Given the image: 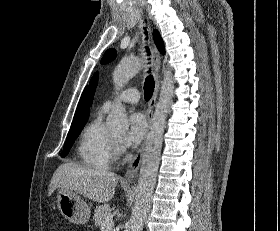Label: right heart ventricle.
<instances>
[{
	"label": "right heart ventricle",
	"instance_id": "e07e8e85",
	"mask_svg": "<svg viewBox=\"0 0 280 231\" xmlns=\"http://www.w3.org/2000/svg\"><path fill=\"white\" fill-rule=\"evenodd\" d=\"M102 111L83 129L77 144L81 163L89 168L106 169L113 154V141L102 123Z\"/></svg>",
	"mask_w": 280,
	"mask_h": 231
}]
</instances>
